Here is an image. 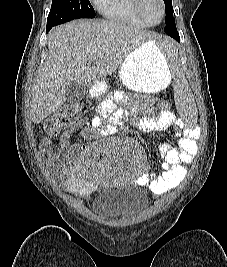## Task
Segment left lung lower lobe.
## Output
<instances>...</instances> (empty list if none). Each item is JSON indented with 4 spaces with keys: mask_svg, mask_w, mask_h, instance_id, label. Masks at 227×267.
<instances>
[{
    "mask_svg": "<svg viewBox=\"0 0 227 267\" xmlns=\"http://www.w3.org/2000/svg\"><path fill=\"white\" fill-rule=\"evenodd\" d=\"M164 31H165L166 34H168L169 36H171L175 40L180 41V37H179V34L177 32L175 22L166 25Z\"/></svg>",
    "mask_w": 227,
    "mask_h": 267,
    "instance_id": "0a47b994",
    "label": "left lung lower lobe"
}]
</instances>
